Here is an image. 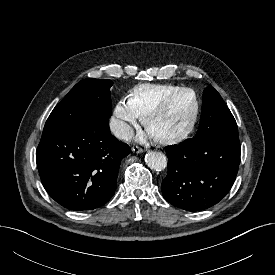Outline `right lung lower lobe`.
<instances>
[{"mask_svg":"<svg viewBox=\"0 0 275 275\" xmlns=\"http://www.w3.org/2000/svg\"><path fill=\"white\" fill-rule=\"evenodd\" d=\"M129 152L110 133L108 119H101L83 128L43 132L36 162L50 197L67 209L84 211L113 197L119 163Z\"/></svg>","mask_w":275,"mask_h":275,"instance_id":"right-lung-lower-lobe-1","label":"right lung lower lobe"}]
</instances>
